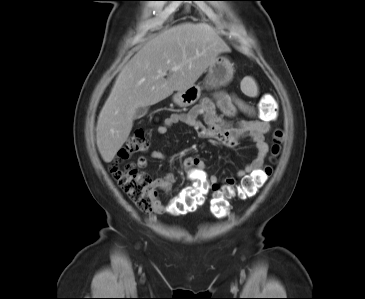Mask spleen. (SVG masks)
Returning <instances> with one entry per match:
<instances>
[{
  "label": "spleen",
  "instance_id": "spleen-1",
  "mask_svg": "<svg viewBox=\"0 0 365 299\" xmlns=\"http://www.w3.org/2000/svg\"><path fill=\"white\" fill-rule=\"evenodd\" d=\"M241 89L249 97L258 95V87L252 77H245L241 82Z\"/></svg>",
  "mask_w": 365,
  "mask_h": 299
}]
</instances>
